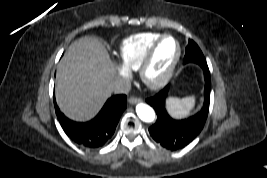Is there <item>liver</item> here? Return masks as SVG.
I'll return each instance as SVG.
<instances>
[{"instance_id": "obj_1", "label": "liver", "mask_w": 267, "mask_h": 178, "mask_svg": "<svg viewBox=\"0 0 267 178\" xmlns=\"http://www.w3.org/2000/svg\"><path fill=\"white\" fill-rule=\"evenodd\" d=\"M116 78L115 66L103 44L92 36L81 37L70 44L58 64L57 104L67 117L88 120L110 96L108 86Z\"/></svg>"}]
</instances>
